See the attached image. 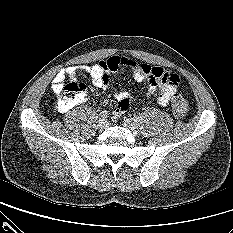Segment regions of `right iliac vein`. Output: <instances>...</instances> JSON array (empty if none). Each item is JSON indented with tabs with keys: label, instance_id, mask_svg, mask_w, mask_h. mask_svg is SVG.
<instances>
[{
	"label": "right iliac vein",
	"instance_id": "obj_1",
	"mask_svg": "<svg viewBox=\"0 0 233 233\" xmlns=\"http://www.w3.org/2000/svg\"><path fill=\"white\" fill-rule=\"evenodd\" d=\"M108 126V122L105 119H99L98 124H97V128L99 130H104L106 127Z\"/></svg>",
	"mask_w": 233,
	"mask_h": 233
}]
</instances>
